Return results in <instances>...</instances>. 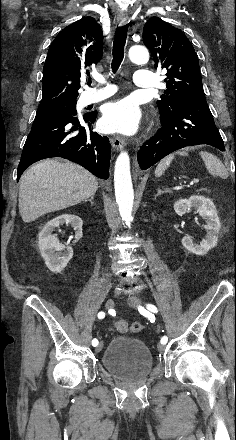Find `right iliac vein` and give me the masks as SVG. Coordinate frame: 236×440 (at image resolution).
<instances>
[{
  "instance_id": "right-iliac-vein-1",
  "label": "right iliac vein",
  "mask_w": 236,
  "mask_h": 440,
  "mask_svg": "<svg viewBox=\"0 0 236 440\" xmlns=\"http://www.w3.org/2000/svg\"><path fill=\"white\" fill-rule=\"evenodd\" d=\"M113 307H114V300L113 299H108L106 301V308L107 309H112ZM102 348H103V342H100L98 344V346L96 347L95 351L96 352H100L102 350Z\"/></svg>"
}]
</instances>
